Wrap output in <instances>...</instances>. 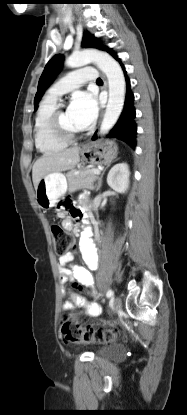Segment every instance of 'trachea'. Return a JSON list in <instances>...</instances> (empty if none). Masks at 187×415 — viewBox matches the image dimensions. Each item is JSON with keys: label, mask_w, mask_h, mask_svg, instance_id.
<instances>
[{"label": "trachea", "mask_w": 187, "mask_h": 415, "mask_svg": "<svg viewBox=\"0 0 187 415\" xmlns=\"http://www.w3.org/2000/svg\"><path fill=\"white\" fill-rule=\"evenodd\" d=\"M96 82H97V83H100V82H102V79H101V78H98V79L96 80Z\"/></svg>", "instance_id": "3493384b"}]
</instances>
